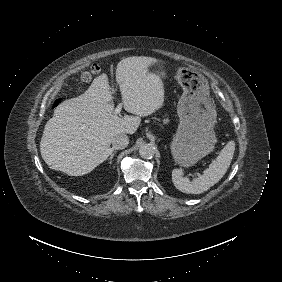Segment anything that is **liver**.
<instances>
[{"label": "liver", "instance_id": "6515ba94", "mask_svg": "<svg viewBox=\"0 0 282 282\" xmlns=\"http://www.w3.org/2000/svg\"><path fill=\"white\" fill-rule=\"evenodd\" d=\"M152 57H128L117 64L124 109L136 116L118 117L108 76L96 77L84 94L63 101L45 125L40 152L45 163L69 176L91 172L110 155L112 138L133 134L141 118L151 115L164 103V84L158 74L149 71Z\"/></svg>", "mask_w": 282, "mask_h": 282}]
</instances>
